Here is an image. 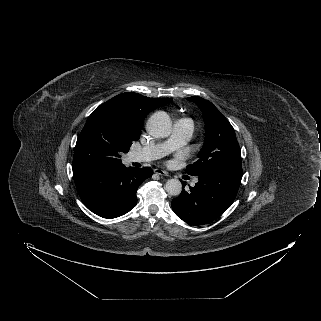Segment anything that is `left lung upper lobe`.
Instances as JSON below:
<instances>
[{
  "label": "left lung upper lobe",
  "instance_id": "5c2ea615",
  "mask_svg": "<svg viewBox=\"0 0 321 321\" xmlns=\"http://www.w3.org/2000/svg\"><path fill=\"white\" fill-rule=\"evenodd\" d=\"M187 100L201 109L206 130L199 159L186 167L187 174L198 176L219 169H242L240 146L229 121L210 101L198 96Z\"/></svg>",
  "mask_w": 321,
  "mask_h": 321
}]
</instances>
